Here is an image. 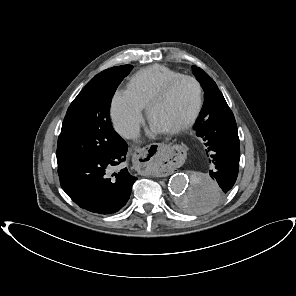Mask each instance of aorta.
Instances as JSON below:
<instances>
[{
    "instance_id": "obj_1",
    "label": "aorta",
    "mask_w": 296,
    "mask_h": 296,
    "mask_svg": "<svg viewBox=\"0 0 296 296\" xmlns=\"http://www.w3.org/2000/svg\"><path fill=\"white\" fill-rule=\"evenodd\" d=\"M168 186L175 204L193 214L209 212L219 199L218 184L204 173L189 171L174 174Z\"/></svg>"
}]
</instances>
